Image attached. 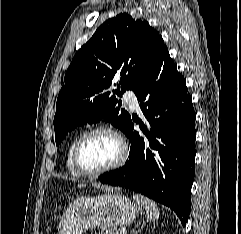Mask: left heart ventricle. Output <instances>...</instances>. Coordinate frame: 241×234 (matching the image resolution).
Returning <instances> with one entry per match:
<instances>
[{
	"mask_svg": "<svg viewBox=\"0 0 241 234\" xmlns=\"http://www.w3.org/2000/svg\"><path fill=\"white\" fill-rule=\"evenodd\" d=\"M120 145L116 138L108 133L91 136L81 149V163L88 170H97L116 161Z\"/></svg>",
	"mask_w": 241,
	"mask_h": 234,
	"instance_id": "1",
	"label": "left heart ventricle"
}]
</instances>
